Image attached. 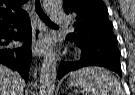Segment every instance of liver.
I'll use <instances>...</instances> for the list:
<instances>
[{
  "label": "liver",
  "instance_id": "obj_1",
  "mask_svg": "<svg viewBox=\"0 0 135 95\" xmlns=\"http://www.w3.org/2000/svg\"><path fill=\"white\" fill-rule=\"evenodd\" d=\"M24 85L17 72L0 64V95H23Z\"/></svg>",
  "mask_w": 135,
  "mask_h": 95
}]
</instances>
